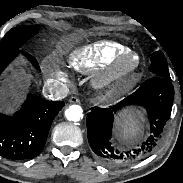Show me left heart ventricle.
I'll return each mask as SVG.
<instances>
[{"instance_id": "left-heart-ventricle-1", "label": "left heart ventricle", "mask_w": 183, "mask_h": 183, "mask_svg": "<svg viewBox=\"0 0 183 183\" xmlns=\"http://www.w3.org/2000/svg\"><path fill=\"white\" fill-rule=\"evenodd\" d=\"M135 63V59L134 58H129L127 61H126V65L129 66V65H133Z\"/></svg>"}]
</instances>
